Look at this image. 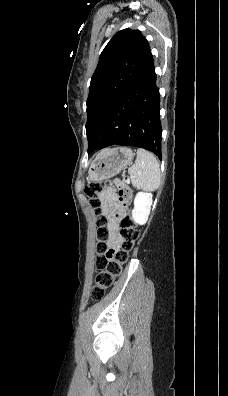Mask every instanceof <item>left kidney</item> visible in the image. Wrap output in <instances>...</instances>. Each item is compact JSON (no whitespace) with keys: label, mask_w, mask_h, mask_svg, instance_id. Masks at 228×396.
Instances as JSON below:
<instances>
[{"label":"left kidney","mask_w":228,"mask_h":396,"mask_svg":"<svg viewBox=\"0 0 228 396\" xmlns=\"http://www.w3.org/2000/svg\"><path fill=\"white\" fill-rule=\"evenodd\" d=\"M152 205V194L138 192L134 199L132 220L135 224L143 225L147 222Z\"/></svg>","instance_id":"5707ae66"}]
</instances>
